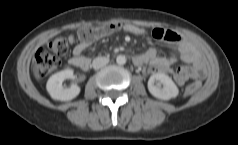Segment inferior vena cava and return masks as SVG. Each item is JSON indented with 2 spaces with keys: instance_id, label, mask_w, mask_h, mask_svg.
Wrapping results in <instances>:
<instances>
[{
  "instance_id": "inferior-vena-cava-1",
  "label": "inferior vena cava",
  "mask_w": 238,
  "mask_h": 145,
  "mask_svg": "<svg viewBox=\"0 0 238 145\" xmlns=\"http://www.w3.org/2000/svg\"><path fill=\"white\" fill-rule=\"evenodd\" d=\"M109 63V58L107 57H96L93 62L92 66L95 70L100 69Z\"/></svg>"
}]
</instances>
